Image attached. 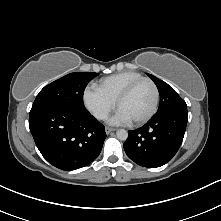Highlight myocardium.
I'll return each instance as SVG.
<instances>
[{
	"label": "myocardium",
	"mask_w": 221,
	"mask_h": 221,
	"mask_svg": "<svg viewBox=\"0 0 221 221\" xmlns=\"http://www.w3.org/2000/svg\"><path fill=\"white\" fill-rule=\"evenodd\" d=\"M143 82H148L152 85L153 89H154V102H153V106L151 108V110L142 118L135 120V121H131V123L133 125H142L144 123H146L147 121H149L156 113L157 109H158V105H159V98H160V94H159V89L158 86L156 85V83L147 77H142L134 82H132L131 84H129L122 92L121 94L118 96L117 100H116V106L117 108H119L120 104L133 92V90L141 83Z\"/></svg>",
	"instance_id": "1"
}]
</instances>
